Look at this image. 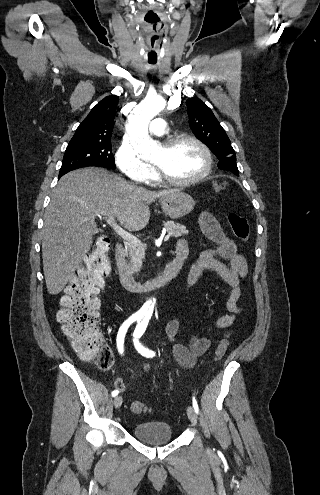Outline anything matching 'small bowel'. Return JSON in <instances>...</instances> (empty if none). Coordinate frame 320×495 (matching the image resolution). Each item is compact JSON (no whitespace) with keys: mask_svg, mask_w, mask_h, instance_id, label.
Here are the masks:
<instances>
[{"mask_svg":"<svg viewBox=\"0 0 320 495\" xmlns=\"http://www.w3.org/2000/svg\"><path fill=\"white\" fill-rule=\"evenodd\" d=\"M202 231L206 238L213 243L211 249L205 250L199 260L191 267L185 290L190 291L205 270L214 271L221 279L231 287V292L226 303L228 314L220 316L211 325L217 329L230 327L236 315L241 312L238 300L241 296L240 279L245 277L248 271L247 261L238 252L236 243L229 238L216 218L208 212H204L200 218ZM177 248L187 249L185 240L177 243ZM180 331V319L173 318L165 325V336L170 342H174ZM211 341L207 336H198L190 333L186 337V344L173 343L172 352L178 364L184 368H192L197 359L204 355L210 348ZM143 368L148 371L149 363H144Z\"/></svg>","mask_w":320,"mask_h":495,"instance_id":"1","label":"small bowel"}]
</instances>
